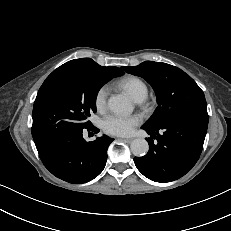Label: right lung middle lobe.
Listing matches in <instances>:
<instances>
[{"label": "right lung middle lobe", "instance_id": "obj_1", "mask_svg": "<svg viewBox=\"0 0 231 231\" xmlns=\"http://www.w3.org/2000/svg\"><path fill=\"white\" fill-rule=\"evenodd\" d=\"M119 76L95 68L53 71L39 89L33 108L34 141L54 140L71 131L88 128L96 112L100 88Z\"/></svg>", "mask_w": 231, "mask_h": 231}]
</instances>
